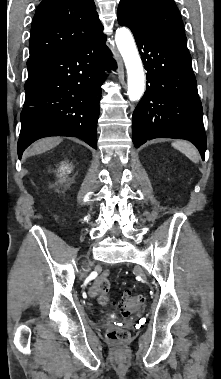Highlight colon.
Masks as SVG:
<instances>
[{"label": "colon", "instance_id": "colon-1", "mask_svg": "<svg viewBox=\"0 0 221 379\" xmlns=\"http://www.w3.org/2000/svg\"><path fill=\"white\" fill-rule=\"evenodd\" d=\"M98 286H99L98 303L100 305H106L109 300L108 291L110 288V283H109L108 278L103 277L100 280ZM142 302H143V297L141 295L125 293L122 300L119 302L118 307L121 313L124 316H127L130 313L136 311L140 307ZM106 337L110 341L121 343V342L126 341L129 335H128V332L123 329L111 327L107 330Z\"/></svg>", "mask_w": 221, "mask_h": 379}]
</instances>
